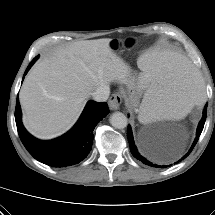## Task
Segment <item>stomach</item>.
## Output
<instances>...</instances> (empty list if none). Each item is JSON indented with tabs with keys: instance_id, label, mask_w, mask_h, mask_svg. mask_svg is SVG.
I'll list each match as a JSON object with an SVG mask.
<instances>
[{
	"instance_id": "1",
	"label": "stomach",
	"mask_w": 215,
	"mask_h": 215,
	"mask_svg": "<svg viewBox=\"0 0 215 215\" xmlns=\"http://www.w3.org/2000/svg\"><path fill=\"white\" fill-rule=\"evenodd\" d=\"M124 84L126 86V96L129 99L134 100V98H136V91H138L141 86L140 76L136 78L134 73L130 72L128 77L125 79Z\"/></svg>"
}]
</instances>
